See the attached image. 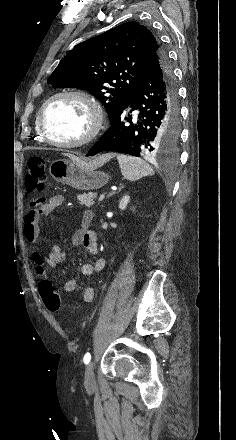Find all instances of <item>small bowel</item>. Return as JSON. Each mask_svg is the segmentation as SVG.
<instances>
[{
  "instance_id": "small-bowel-1",
  "label": "small bowel",
  "mask_w": 236,
  "mask_h": 440,
  "mask_svg": "<svg viewBox=\"0 0 236 440\" xmlns=\"http://www.w3.org/2000/svg\"><path fill=\"white\" fill-rule=\"evenodd\" d=\"M64 202L61 195H56L50 198H40L29 208L24 219V237L30 244H37L40 234V221L48 214L51 209L59 207ZM92 221V213L90 211L83 212L80 224L73 236V244L75 246H82L93 255H98L97 237L94 231L89 226ZM66 255L59 246H53L51 251L45 256L38 250L33 252V262L36 273L40 276L41 281L46 278V269L54 268L58 264L64 262ZM104 259L100 258L95 263H86L81 267V274L85 277L92 276L95 272L100 271L104 267ZM40 281V282H41ZM77 281L69 279L64 283V290L66 292H73L77 289ZM83 300L90 302L94 299V290L91 287H86L82 291Z\"/></svg>"
}]
</instances>
